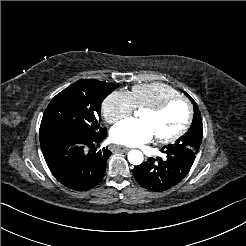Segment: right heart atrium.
<instances>
[{
	"mask_svg": "<svg viewBox=\"0 0 246 246\" xmlns=\"http://www.w3.org/2000/svg\"><path fill=\"white\" fill-rule=\"evenodd\" d=\"M134 102L128 91L117 89L112 91L102 103V112L108 123H115L132 115Z\"/></svg>",
	"mask_w": 246,
	"mask_h": 246,
	"instance_id": "obj_1",
	"label": "right heart atrium"
}]
</instances>
